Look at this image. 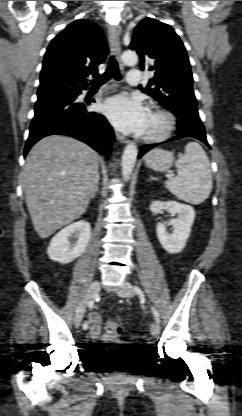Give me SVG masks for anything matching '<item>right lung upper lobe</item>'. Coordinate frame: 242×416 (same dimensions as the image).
Here are the masks:
<instances>
[{"label":"right lung upper lobe","instance_id":"obj_1","mask_svg":"<svg viewBox=\"0 0 242 416\" xmlns=\"http://www.w3.org/2000/svg\"><path fill=\"white\" fill-rule=\"evenodd\" d=\"M108 54L106 39L95 23L77 20L59 33L44 56L38 97L63 90L87 88L89 74L97 76V66Z\"/></svg>","mask_w":242,"mask_h":416}]
</instances>
